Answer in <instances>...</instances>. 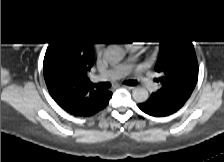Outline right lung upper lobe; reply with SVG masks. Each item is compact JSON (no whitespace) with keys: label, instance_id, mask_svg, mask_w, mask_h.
Listing matches in <instances>:
<instances>
[{"label":"right lung upper lobe","instance_id":"right-lung-upper-lobe-1","mask_svg":"<svg viewBox=\"0 0 224 162\" xmlns=\"http://www.w3.org/2000/svg\"><path fill=\"white\" fill-rule=\"evenodd\" d=\"M93 38L73 32L46 52L43 72L53 99L74 116H91L105 108L112 93L95 90L87 72L94 63Z\"/></svg>","mask_w":224,"mask_h":162}]
</instances>
